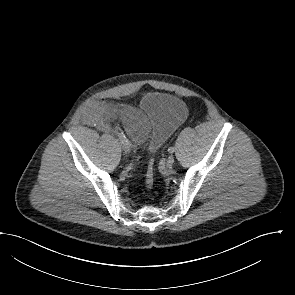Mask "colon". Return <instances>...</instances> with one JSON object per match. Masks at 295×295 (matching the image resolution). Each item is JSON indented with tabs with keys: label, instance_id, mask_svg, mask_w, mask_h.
Returning <instances> with one entry per match:
<instances>
[{
	"label": "colon",
	"instance_id": "obj_1",
	"mask_svg": "<svg viewBox=\"0 0 295 295\" xmlns=\"http://www.w3.org/2000/svg\"><path fill=\"white\" fill-rule=\"evenodd\" d=\"M155 181V169L154 161L150 160L147 165L146 175H145V185L147 189H152Z\"/></svg>",
	"mask_w": 295,
	"mask_h": 295
}]
</instances>
